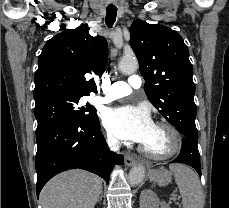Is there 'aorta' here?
<instances>
[{
    "instance_id": "1",
    "label": "aorta",
    "mask_w": 229,
    "mask_h": 208,
    "mask_svg": "<svg viewBox=\"0 0 229 208\" xmlns=\"http://www.w3.org/2000/svg\"><path fill=\"white\" fill-rule=\"evenodd\" d=\"M138 62L134 58H123L119 64V70L124 74H132L137 69ZM145 168L141 165L133 167L128 175V181L136 186L144 180Z\"/></svg>"
}]
</instances>
